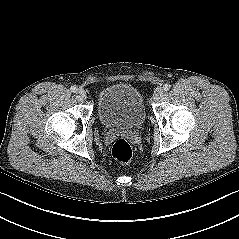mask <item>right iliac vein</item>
<instances>
[{
  "label": "right iliac vein",
  "mask_w": 239,
  "mask_h": 239,
  "mask_svg": "<svg viewBox=\"0 0 239 239\" xmlns=\"http://www.w3.org/2000/svg\"><path fill=\"white\" fill-rule=\"evenodd\" d=\"M78 94H79V96H80L81 98H83V99H86V97H87L86 91H85L83 88H80V89L78 90Z\"/></svg>",
  "instance_id": "1"
}]
</instances>
